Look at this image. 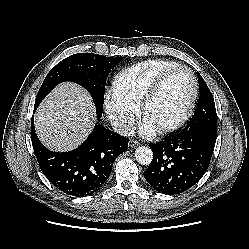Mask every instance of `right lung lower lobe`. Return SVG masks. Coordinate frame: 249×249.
Returning <instances> with one entry per match:
<instances>
[{
    "mask_svg": "<svg viewBox=\"0 0 249 249\" xmlns=\"http://www.w3.org/2000/svg\"><path fill=\"white\" fill-rule=\"evenodd\" d=\"M31 141L39 166L47 179L62 192L83 197L103 186L116 157L127 150L129 139L96 125L91 135L75 150L53 152L38 139L32 118Z\"/></svg>",
    "mask_w": 249,
    "mask_h": 249,
    "instance_id": "obj_1",
    "label": "right lung lower lobe"
}]
</instances>
